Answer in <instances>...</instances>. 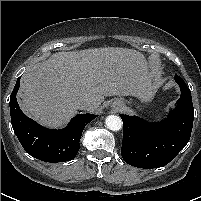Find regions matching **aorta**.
Masks as SVG:
<instances>
[{"mask_svg": "<svg viewBox=\"0 0 201 201\" xmlns=\"http://www.w3.org/2000/svg\"><path fill=\"white\" fill-rule=\"evenodd\" d=\"M106 126L112 131H119L122 128V120L119 116L109 115L105 120Z\"/></svg>", "mask_w": 201, "mask_h": 201, "instance_id": "obj_1", "label": "aorta"}]
</instances>
